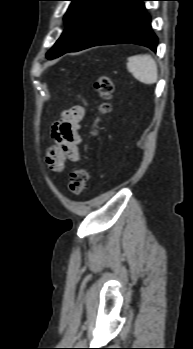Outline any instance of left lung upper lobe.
Wrapping results in <instances>:
<instances>
[{
  "mask_svg": "<svg viewBox=\"0 0 193 349\" xmlns=\"http://www.w3.org/2000/svg\"><path fill=\"white\" fill-rule=\"evenodd\" d=\"M69 1H72V3L64 16L66 29L54 46L46 53L48 59L59 57L72 48L111 0Z\"/></svg>",
  "mask_w": 193,
  "mask_h": 349,
  "instance_id": "left-lung-upper-lobe-1",
  "label": "left lung upper lobe"
}]
</instances>
